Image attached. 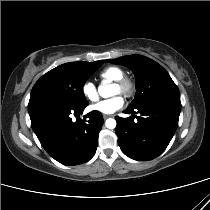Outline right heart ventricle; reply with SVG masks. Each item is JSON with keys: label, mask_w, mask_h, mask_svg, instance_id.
I'll list each match as a JSON object with an SVG mask.
<instances>
[{"label": "right heart ventricle", "mask_w": 210, "mask_h": 210, "mask_svg": "<svg viewBox=\"0 0 210 210\" xmlns=\"http://www.w3.org/2000/svg\"><path fill=\"white\" fill-rule=\"evenodd\" d=\"M124 76V71L116 66H108L100 71L99 78L103 82H115Z\"/></svg>", "instance_id": "1"}]
</instances>
